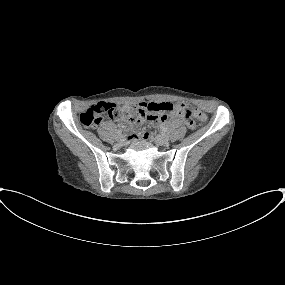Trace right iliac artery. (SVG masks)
<instances>
[{"instance_id": "82829eb1", "label": "right iliac artery", "mask_w": 285, "mask_h": 285, "mask_svg": "<svg viewBox=\"0 0 285 285\" xmlns=\"http://www.w3.org/2000/svg\"><path fill=\"white\" fill-rule=\"evenodd\" d=\"M117 134H118V135H122V130H118V131H117Z\"/></svg>"}]
</instances>
